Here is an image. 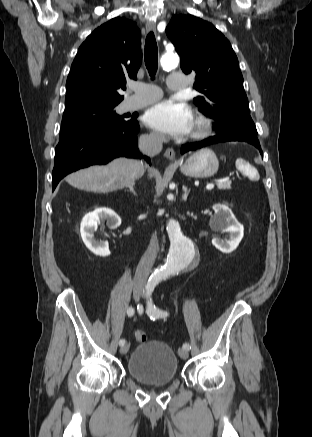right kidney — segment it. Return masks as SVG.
<instances>
[{
    "label": "right kidney",
    "mask_w": 312,
    "mask_h": 437,
    "mask_svg": "<svg viewBox=\"0 0 312 437\" xmlns=\"http://www.w3.org/2000/svg\"><path fill=\"white\" fill-rule=\"evenodd\" d=\"M100 220H105L107 226L116 228L121 224L120 217L109 208H97L84 216L80 225V233L86 247L98 256L110 254L108 242H98L94 238V232Z\"/></svg>",
    "instance_id": "obj_1"
}]
</instances>
